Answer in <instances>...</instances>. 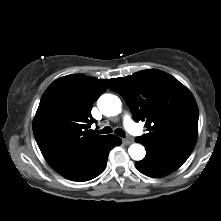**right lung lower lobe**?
Wrapping results in <instances>:
<instances>
[{
    "mask_svg": "<svg viewBox=\"0 0 221 221\" xmlns=\"http://www.w3.org/2000/svg\"><path fill=\"white\" fill-rule=\"evenodd\" d=\"M121 142V138L115 135H108L106 139L83 155L56 164L52 168L65 178L73 181L91 180L104 171L110 150L120 145Z\"/></svg>",
    "mask_w": 221,
    "mask_h": 221,
    "instance_id": "right-lung-lower-lobe-1",
    "label": "right lung lower lobe"
}]
</instances>
